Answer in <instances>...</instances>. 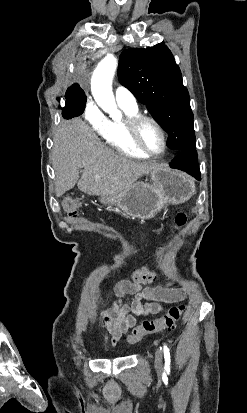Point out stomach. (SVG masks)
<instances>
[{
	"mask_svg": "<svg viewBox=\"0 0 247 413\" xmlns=\"http://www.w3.org/2000/svg\"><path fill=\"white\" fill-rule=\"evenodd\" d=\"M147 174L150 182L139 180L120 194H100V202L118 207L129 217L151 219L164 204H181L195 194V180L186 172L156 164Z\"/></svg>",
	"mask_w": 247,
	"mask_h": 413,
	"instance_id": "1",
	"label": "stomach"
}]
</instances>
